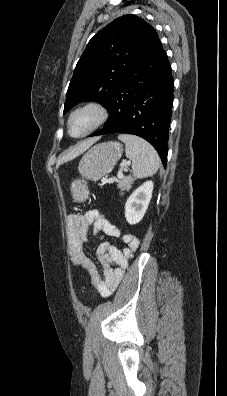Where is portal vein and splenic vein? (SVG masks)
I'll return each mask as SVG.
<instances>
[{
    "mask_svg": "<svg viewBox=\"0 0 227 396\" xmlns=\"http://www.w3.org/2000/svg\"><path fill=\"white\" fill-rule=\"evenodd\" d=\"M129 164H130V162H126L125 164H123V165L121 166V168L119 169V171H118V173H117V177H118L119 179L123 178V167L126 166V165H129ZM109 181H110V182H113V179H110Z\"/></svg>",
    "mask_w": 227,
    "mask_h": 396,
    "instance_id": "1",
    "label": "portal vein and splenic vein"
}]
</instances>
